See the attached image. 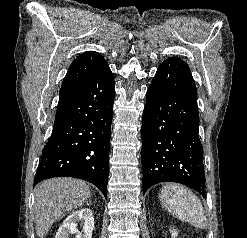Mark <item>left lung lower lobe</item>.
<instances>
[{"mask_svg": "<svg viewBox=\"0 0 247 238\" xmlns=\"http://www.w3.org/2000/svg\"><path fill=\"white\" fill-rule=\"evenodd\" d=\"M198 126L197 90L191 71L180 58H169L154 76L143 111V191L167 181L205 196Z\"/></svg>", "mask_w": 247, "mask_h": 238, "instance_id": "left-lung-lower-lobe-1", "label": "left lung lower lobe"}]
</instances>
